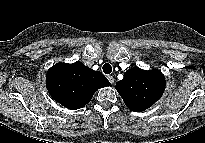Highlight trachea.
<instances>
[{
    "label": "trachea",
    "mask_w": 205,
    "mask_h": 143,
    "mask_svg": "<svg viewBox=\"0 0 205 143\" xmlns=\"http://www.w3.org/2000/svg\"><path fill=\"white\" fill-rule=\"evenodd\" d=\"M102 69L105 74H110L112 72V66L109 63H105Z\"/></svg>",
    "instance_id": "1"
}]
</instances>
